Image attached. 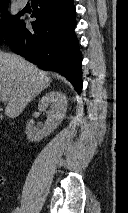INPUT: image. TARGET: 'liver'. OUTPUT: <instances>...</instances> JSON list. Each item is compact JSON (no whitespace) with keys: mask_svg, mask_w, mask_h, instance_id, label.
I'll use <instances>...</instances> for the list:
<instances>
[{"mask_svg":"<svg viewBox=\"0 0 128 213\" xmlns=\"http://www.w3.org/2000/svg\"><path fill=\"white\" fill-rule=\"evenodd\" d=\"M49 85L50 78L45 71L18 55L0 51V96L7 101L6 116H19Z\"/></svg>","mask_w":128,"mask_h":213,"instance_id":"1","label":"liver"}]
</instances>
